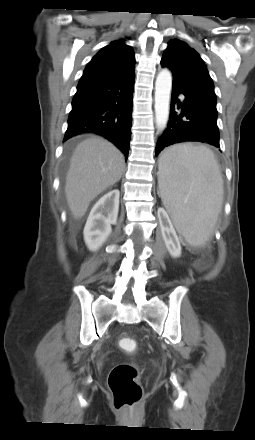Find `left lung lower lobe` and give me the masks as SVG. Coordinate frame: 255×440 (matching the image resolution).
<instances>
[{
  "mask_svg": "<svg viewBox=\"0 0 255 440\" xmlns=\"http://www.w3.org/2000/svg\"><path fill=\"white\" fill-rule=\"evenodd\" d=\"M179 93L185 96L183 106L177 99ZM171 99L168 127L157 142L155 155L169 145L188 141L208 143L220 148L216 107L190 98L175 85L172 86ZM181 106V111L176 112L174 108L179 109Z\"/></svg>",
  "mask_w": 255,
  "mask_h": 440,
  "instance_id": "left-lung-lower-lobe-1",
  "label": "left lung lower lobe"
}]
</instances>
